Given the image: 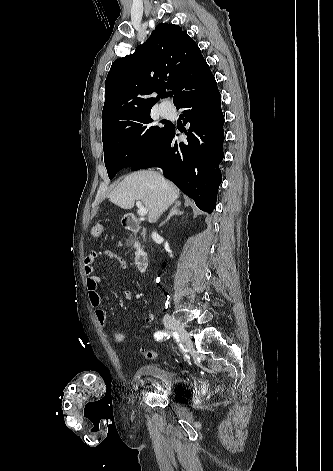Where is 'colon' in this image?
I'll list each match as a JSON object with an SVG mask.
<instances>
[{
  "mask_svg": "<svg viewBox=\"0 0 333 471\" xmlns=\"http://www.w3.org/2000/svg\"><path fill=\"white\" fill-rule=\"evenodd\" d=\"M102 232L103 226L100 224H96L91 228V235L93 237H100ZM113 340L117 345H124L127 340V336L125 333L118 331L114 333ZM144 357L148 360H154L157 357V353L152 350H146L144 351Z\"/></svg>",
  "mask_w": 333,
  "mask_h": 471,
  "instance_id": "5ec220e1",
  "label": "colon"
}]
</instances>
